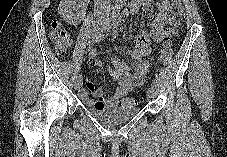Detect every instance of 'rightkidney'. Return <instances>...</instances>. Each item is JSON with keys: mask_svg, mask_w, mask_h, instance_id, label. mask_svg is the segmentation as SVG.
I'll return each mask as SVG.
<instances>
[{"mask_svg": "<svg viewBox=\"0 0 227 157\" xmlns=\"http://www.w3.org/2000/svg\"><path fill=\"white\" fill-rule=\"evenodd\" d=\"M74 1H64L62 0L60 2L58 11L59 14L63 17L65 21H67L70 24H75L79 21V14H75V6H72Z\"/></svg>", "mask_w": 227, "mask_h": 157, "instance_id": "1", "label": "right kidney"}]
</instances>
